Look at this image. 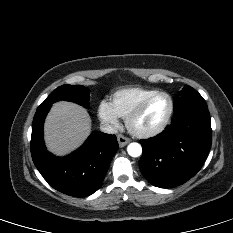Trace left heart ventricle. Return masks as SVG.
Masks as SVG:
<instances>
[{
  "label": "left heart ventricle",
  "instance_id": "1",
  "mask_svg": "<svg viewBox=\"0 0 233 233\" xmlns=\"http://www.w3.org/2000/svg\"><path fill=\"white\" fill-rule=\"evenodd\" d=\"M169 107V99L166 96H156L134 120V128L139 131H149L157 128L166 118Z\"/></svg>",
  "mask_w": 233,
  "mask_h": 233
}]
</instances>
